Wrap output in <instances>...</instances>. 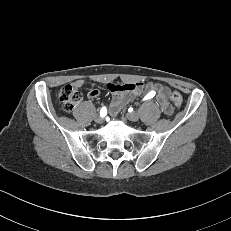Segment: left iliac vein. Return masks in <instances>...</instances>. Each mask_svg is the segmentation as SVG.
<instances>
[{
	"mask_svg": "<svg viewBox=\"0 0 231 231\" xmlns=\"http://www.w3.org/2000/svg\"><path fill=\"white\" fill-rule=\"evenodd\" d=\"M126 118L132 122H136L139 120L140 116L137 112H131L126 115Z\"/></svg>",
	"mask_w": 231,
	"mask_h": 231,
	"instance_id": "4c4485c4",
	"label": "left iliac vein"
}]
</instances>
